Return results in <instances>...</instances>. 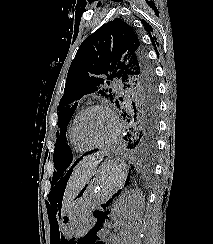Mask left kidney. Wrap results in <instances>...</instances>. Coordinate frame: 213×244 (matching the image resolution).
I'll list each match as a JSON object with an SVG mask.
<instances>
[{"mask_svg": "<svg viewBox=\"0 0 213 244\" xmlns=\"http://www.w3.org/2000/svg\"><path fill=\"white\" fill-rule=\"evenodd\" d=\"M144 201L143 195L138 191H127L121 196L111 209V219L121 227L118 244H130L133 234L138 228L140 208Z\"/></svg>", "mask_w": 213, "mask_h": 244, "instance_id": "5707ae66", "label": "left kidney"}]
</instances>
